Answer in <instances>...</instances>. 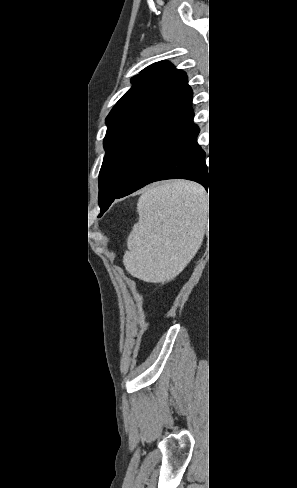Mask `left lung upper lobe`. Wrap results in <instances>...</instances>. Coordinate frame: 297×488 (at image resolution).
Segmentation results:
<instances>
[{
    "label": "left lung upper lobe",
    "mask_w": 297,
    "mask_h": 488,
    "mask_svg": "<svg viewBox=\"0 0 297 488\" xmlns=\"http://www.w3.org/2000/svg\"><path fill=\"white\" fill-rule=\"evenodd\" d=\"M131 82V89L106 118V154L99 175L101 211L158 149L193 121L187 75L171 63L156 62Z\"/></svg>",
    "instance_id": "1"
}]
</instances>
